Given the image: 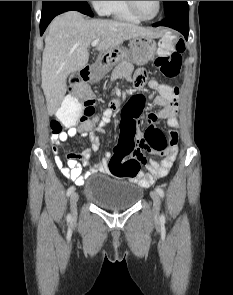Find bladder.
Returning <instances> with one entry per match:
<instances>
[{"mask_svg":"<svg viewBox=\"0 0 233 295\" xmlns=\"http://www.w3.org/2000/svg\"><path fill=\"white\" fill-rule=\"evenodd\" d=\"M85 198L95 205L112 211L134 207L143 190L136 184L108 176H92L84 184Z\"/></svg>","mask_w":233,"mask_h":295,"instance_id":"1","label":"bladder"}]
</instances>
